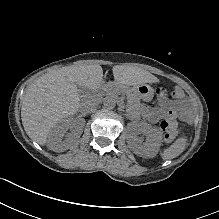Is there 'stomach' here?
<instances>
[{
  "label": "stomach",
  "mask_w": 219,
  "mask_h": 219,
  "mask_svg": "<svg viewBox=\"0 0 219 219\" xmlns=\"http://www.w3.org/2000/svg\"><path fill=\"white\" fill-rule=\"evenodd\" d=\"M134 90L140 98H144V99H146L154 92L153 88L147 84L136 86Z\"/></svg>",
  "instance_id": "obj_1"
}]
</instances>
